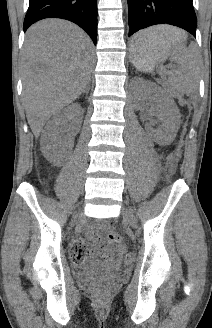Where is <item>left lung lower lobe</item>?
Masks as SVG:
<instances>
[{
  "label": "left lung lower lobe",
  "instance_id": "left-lung-lower-lobe-1",
  "mask_svg": "<svg viewBox=\"0 0 212 328\" xmlns=\"http://www.w3.org/2000/svg\"><path fill=\"white\" fill-rule=\"evenodd\" d=\"M193 0H127L129 36L156 24H170L187 30L196 37L197 19ZM141 43L132 41L133 48Z\"/></svg>",
  "mask_w": 212,
  "mask_h": 328
}]
</instances>
